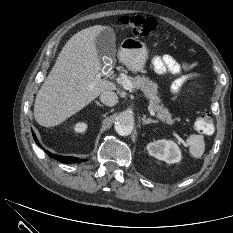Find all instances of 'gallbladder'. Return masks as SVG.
<instances>
[{"label": "gallbladder", "mask_w": 233, "mask_h": 233, "mask_svg": "<svg viewBox=\"0 0 233 233\" xmlns=\"http://www.w3.org/2000/svg\"><path fill=\"white\" fill-rule=\"evenodd\" d=\"M115 33L111 27H104L95 38V46L98 57L114 58L116 53Z\"/></svg>", "instance_id": "gallbladder-1"}]
</instances>
